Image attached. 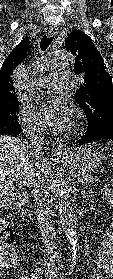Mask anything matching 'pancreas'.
I'll use <instances>...</instances> for the list:
<instances>
[{"label": "pancreas", "mask_w": 113, "mask_h": 279, "mask_svg": "<svg viewBox=\"0 0 113 279\" xmlns=\"http://www.w3.org/2000/svg\"><path fill=\"white\" fill-rule=\"evenodd\" d=\"M74 176L77 179V181L79 183H81L82 185L94 182V177L88 173L78 172V173H75Z\"/></svg>", "instance_id": "cf45deb5"}]
</instances>
